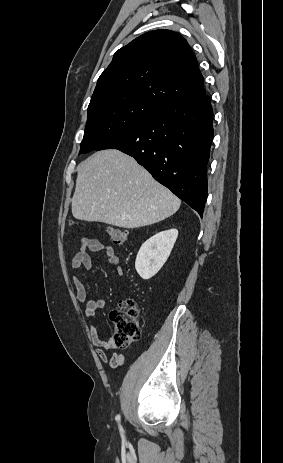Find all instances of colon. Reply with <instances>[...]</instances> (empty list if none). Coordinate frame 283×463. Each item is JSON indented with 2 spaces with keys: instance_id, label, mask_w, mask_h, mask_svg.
<instances>
[{
  "instance_id": "1",
  "label": "colon",
  "mask_w": 283,
  "mask_h": 463,
  "mask_svg": "<svg viewBox=\"0 0 283 463\" xmlns=\"http://www.w3.org/2000/svg\"><path fill=\"white\" fill-rule=\"evenodd\" d=\"M107 234L111 241L121 246L127 241V232L117 227H107ZM114 325L113 340L116 346L125 347L137 341L140 337L139 310L130 299L122 301L111 312Z\"/></svg>"
}]
</instances>
